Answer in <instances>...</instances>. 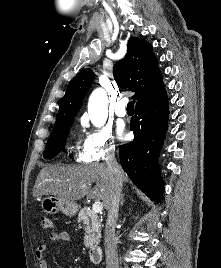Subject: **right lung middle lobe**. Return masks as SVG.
Returning <instances> with one entry per match:
<instances>
[{
	"label": "right lung middle lobe",
	"instance_id": "dd1d6c3e",
	"mask_svg": "<svg viewBox=\"0 0 221 268\" xmlns=\"http://www.w3.org/2000/svg\"><path fill=\"white\" fill-rule=\"evenodd\" d=\"M73 122L74 119L55 125L50 138L47 141L46 149L43 153L44 157L56 156L63 150Z\"/></svg>",
	"mask_w": 221,
	"mask_h": 268
}]
</instances>
